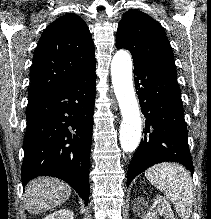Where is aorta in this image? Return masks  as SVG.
<instances>
[{"label":"aorta","mask_w":211,"mask_h":219,"mask_svg":"<svg viewBox=\"0 0 211 219\" xmlns=\"http://www.w3.org/2000/svg\"><path fill=\"white\" fill-rule=\"evenodd\" d=\"M114 93L122 114L120 144L125 152H133L140 143L142 123L132 81V59L125 50H119L111 63Z\"/></svg>","instance_id":"obj_1"}]
</instances>
